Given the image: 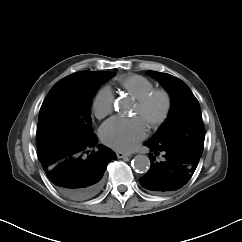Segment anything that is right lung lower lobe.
Returning a JSON list of instances; mask_svg holds the SVG:
<instances>
[{
  "mask_svg": "<svg viewBox=\"0 0 242 242\" xmlns=\"http://www.w3.org/2000/svg\"><path fill=\"white\" fill-rule=\"evenodd\" d=\"M96 144L97 137L92 134L82 142L54 140L38 148L48 179L63 195L88 199L99 193L107 164L117 157L103 145L91 151Z\"/></svg>",
  "mask_w": 242,
  "mask_h": 242,
  "instance_id": "right-lung-lower-lobe-1",
  "label": "right lung lower lobe"
}]
</instances>
